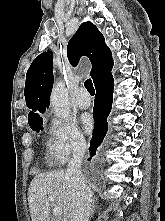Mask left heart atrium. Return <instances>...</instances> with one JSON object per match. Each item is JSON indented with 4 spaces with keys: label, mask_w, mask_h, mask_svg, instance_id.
<instances>
[{
    "label": "left heart atrium",
    "mask_w": 165,
    "mask_h": 221,
    "mask_svg": "<svg viewBox=\"0 0 165 221\" xmlns=\"http://www.w3.org/2000/svg\"><path fill=\"white\" fill-rule=\"evenodd\" d=\"M82 123H83L85 131L87 133H90L93 129V120H92L91 116L85 115L82 119Z\"/></svg>",
    "instance_id": "left-heart-atrium-1"
}]
</instances>
